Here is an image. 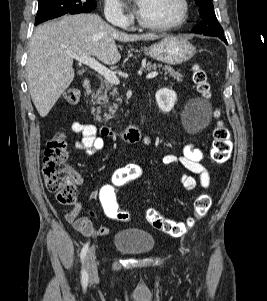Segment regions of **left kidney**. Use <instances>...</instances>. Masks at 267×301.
Instances as JSON below:
<instances>
[{"label": "left kidney", "mask_w": 267, "mask_h": 301, "mask_svg": "<svg viewBox=\"0 0 267 301\" xmlns=\"http://www.w3.org/2000/svg\"><path fill=\"white\" fill-rule=\"evenodd\" d=\"M156 102L163 112H169L174 107L177 99L176 93L172 89L163 88L155 94Z\"/></svg>", "instance_id": "left-kidney-1"}]
</instances>
